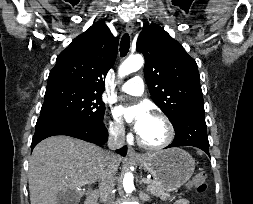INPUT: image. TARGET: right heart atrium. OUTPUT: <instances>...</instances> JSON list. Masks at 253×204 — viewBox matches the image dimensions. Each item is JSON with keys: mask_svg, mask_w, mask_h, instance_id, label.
<instances>
[{"mask_svg": "<svg viewBox=\"0 0 253 204\" xmlns=\"http://www.w3.org/2000/svg\"><path fill=\"white\" fill-rule=\"evenodd\" d=\"M108 131L110 136L116 140H124L127 137L126 130L122 123L111 115L108 118Z\"/></svg>", "mask_w": 253, "mask_h": 204, "instance_id": "1", "label": "right heart atrium"}]
</instances>
